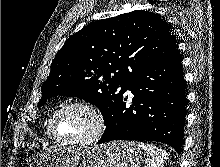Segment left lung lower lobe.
<instances>
[{
  "mask_svg": "<svg viewBox=\"0 0 220 167\" xmlns=\"http://www.w3.org/2000/svg\"><path fill=\"white\" fill-rule=\"evenodd\" d=\"M130 90L132 105L126 107ZM186 94L177 48L148 65L127 83L107 120L99 144L112 140L163 142L181 153Z\"/></svg>",
  "mask_w": 220,
  "mask_h": 167,
  "instance_id": "0a47b994",
  "label": "left lung lower lobe"
}]
</instances>
